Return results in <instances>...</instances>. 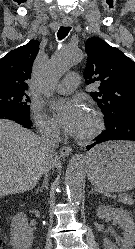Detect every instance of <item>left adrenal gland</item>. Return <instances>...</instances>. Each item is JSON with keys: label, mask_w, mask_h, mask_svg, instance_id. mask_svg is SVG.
Segmentation results:
<instances>
[{"label": "left adrenal gland", "mask_w": 135, "mask_h": 249, "mask_svg": "<svg viewBox=\"0 0 135 249\" xmlns=\"http://www.w3.org/2000/svg\"><path fill=\"white\" fill-rule=\"evenodd\" d=\"M90 194H97V193L95 192L94 189H91V191L89 192V195H90Z\"/></svg>", "instance_id": "obj_1"}]
</instances>
